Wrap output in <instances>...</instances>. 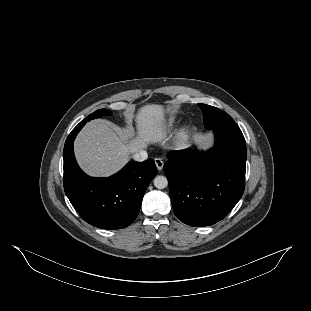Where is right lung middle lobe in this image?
Returning <instances> with one entry per match:
<instances>
[{"label":"right lung middle lobe","mask_w":311,"mask_h":311,"mask_svg":"<svg viewBox=\"0 0 311 311\" xmlns=\"http://www.w3.org/2000/svg\"><path fill=\"white\" fill-rule=\"evenodd\" d=\"M103 115H111V112L106 110V109L97 110L94 113H92L89 116H87L84 120H82V122L86 123V122H88V121H90L92 119L102 117Z\"/></svg>","instance_id":"dd1d6c3e"}]
</instances>
